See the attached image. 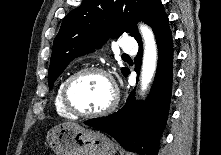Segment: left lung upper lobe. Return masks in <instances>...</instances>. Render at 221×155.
<instances>
[{
    "mask_svg": "<svg viewBox=\"0 0 221 155\" xmlns=\"http://www.w3.org/2000/svg\"><path fill=\"white\" fill-rule=\"evenodd\" d=\"M160 0H83L61 24L54 39L48 83L55 80L74 57L94 51L108 37H119L123 32L137 39L140 35L134 20L147 23ZM129 70L122 68L126 75Z\"/></svg>",
    "mask_w": 221,
    "mask_h": 155,
    "instance_id": "1",
    "label": "left lung upper lobe"
}]
</instances>
